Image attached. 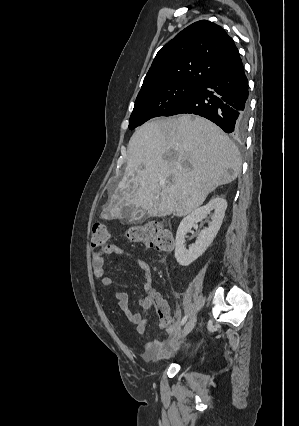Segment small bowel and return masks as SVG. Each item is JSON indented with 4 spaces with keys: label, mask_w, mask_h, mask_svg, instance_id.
Wrapping results in <instances>:
<instances>
[{
    "label": "small bowel",
    "mask_w": 299,
    "mask_h": 426,
    "mask_svg": "<svg viewBox=\"0 0 299 426\" xmlns=\"http://www.w3.org/2000/svg\"><path fill=\"white\" fill-rule=\"evenodd\" d=\"M109 253L133 259L141 269L145 281L144 290L146 294L142 299V313L134 312L130 308L129 298L125 292H117L115 294L116 302L128 321L136 326L138 334H144L148 323L147 310L153 305L159 318L158 327L166 333L164 339L147 342L142 357L147 360L169 358L171 356L170 350H174L177 347V326L181 318V311L177 310L174 315H171L168 302L153 285L152 270L146 261L134 258L130 253L115 244L111 245ZM92 269L94 276L100 279L103 287H109L113 284V279L106 275L104 257L100 252L93 253Z\"/></svg>",
    "instance_id": "1"
}]
</instances>
